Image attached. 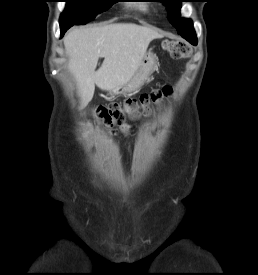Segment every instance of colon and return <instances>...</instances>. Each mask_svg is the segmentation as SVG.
<instances>
[{
	"label": "colon",
	"mask_w": 258,
	"mask_h": 275,
	"mask_svg": "<svg viewBox=\"0 0 258 275\" xmlns=\"http://www.w3.org/2000/svg\"><path fill=\"white\" fill-rule=\"evenodd\" d=\"M162 47L175 59L188 58L191 53V47L184 41L165 39ZM167 93V89L142 94L139 98H130L123 103H114L109 106L100 107L98 109V118L109 126L115 124L122 125L126 116L133 118L146 114L150 110V106L157 104Z\"/></svg>",
	"instance_id": "5ec220e1"
}]
</instances>
